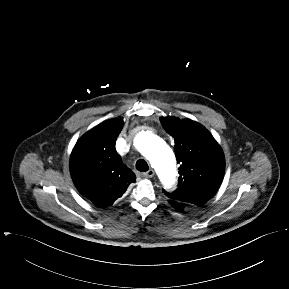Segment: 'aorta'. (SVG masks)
<instances>
[{"instance_id": "762f6f07", "label": "aorta", "mask_w": 289, "mask_h": 289, "mask_svg": "<svg viewBox=\"0 0 289 289\" xmlns=\"http://www.w3.org/2000/svg\"><path fill=\"white\" fill-rule=\"evenodd\" d=\"M135 146L159 173L164 185H171L177 175L176 160L171 148L151 132H140L135 138Z\"/></svg>"}]
</instances>
